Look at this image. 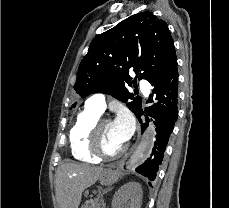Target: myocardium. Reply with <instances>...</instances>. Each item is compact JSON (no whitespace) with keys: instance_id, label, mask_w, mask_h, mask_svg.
Listing matches in <instances>:
<instances>
[{"instance_id":"myocardium-1","label":"myocardium","mask_w":229,"mask_h":208,"mask_svg":"<svg viewBox=\"0 0 229 208\" xmlns=\"http://www.w3.org/2000/svg\"><path fill=\"white\" fill-rule=\"evenodd\" d=\"M112 123L110 120L107 119H97L91 126L89 130V136L92 141V143L89 144V147L87 149L88 153H94V158H119L122 155H124L128 149V145L125 144L122 148L119 150H116V152H102V144L101 139H104L100 128L103 124H110Z\"/></svg>"}]
</instances>
